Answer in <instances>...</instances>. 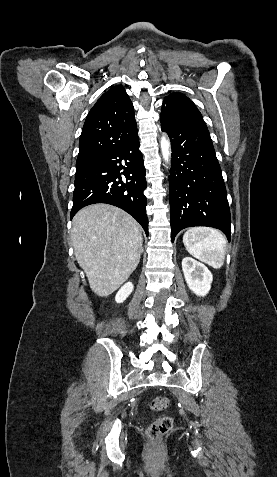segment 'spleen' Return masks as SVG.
Returning a JSON list of instances; mask_svg holds the SVG:
<instances>
[{
	"instance_id": "1",
	"label": "spleen",
	"mask_w": 277,
	"mask_h": 477,
	"mask_svg": "<svg viewBox=\"0 0 277 477\" xmlns=\"http://www.w3.org/2000/svg\"><path fill=\"white\" fill-rule=\"evenodd\" d=\"M183 243L187 251L215 269L223 266L226 254V238L216 229L193 227L183 235Z\"/></svg>"
}]
</instances>
